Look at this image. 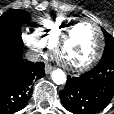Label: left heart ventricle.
Wrapping results in <instances>:
<instances>
[{
  "label": "left heart ventricle",
  "instance_id": "b2bd125f",
  "mask_svg": "<svg viewBox=\"0 0 114 114\" xmlns=\"http://www.w3.org/2000/svg\"><path fill=\"white\" fill-rule=\"evenodd\" d=\"M99 43L98 33L91 23H82L74 31L66 44L63 55L73 64L88 61L96 52Z\"/></svg>",
  "mask_w": 114,
  "mask_h": 114
}]
</instances>
